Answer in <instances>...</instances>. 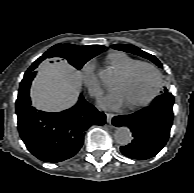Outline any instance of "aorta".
Segmentation results:
<instances>
[{
    "label": "aorta",
    "instance_id": "1",
    "mask_svg": "<svg viewBox=\"0 0 194 193\" xmlns=\"http://www.w3.org/2000/svg\"><path fill=\"white\" fill-rule=\"evenodd\" d=\"M99 77L102 81H104L105 83H108L112 80L113 74L111 70L104 69L99 71ZM114 139L116 143L120 145H127L132 140L131 131L127 127H119L114 133Z\"/></svg>",
    "mask_w": 194,
    "mask_h": 193
}]
</instances>
